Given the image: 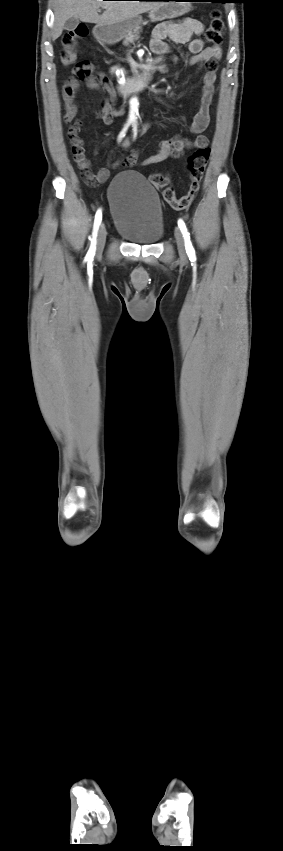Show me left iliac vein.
<instances>
[{"label": "left iliac vein", "instance_id": "left-iliac-vein-1", "mask_svg": "<svg viewBox=\"0 0 283 851\" xmlns=\"http://www.w3.org/2000/svg\"><path fill=\"white\" fill-rule=\"evenodd\" d=\"M175 239H176L177 248H178L180 256L183 257V258L186 257V248H185L184 236H183L182 232L179 230V228L175 229Z\"/></svg>", "mask_w": 283, "mask_h": 851}]
</instances>
